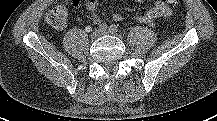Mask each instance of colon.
Returning a JSON list of instances; mask_svg holds the SVG:
<instances>
[{"instance_id":"colon-1","label":"colon","mask_w":217,"mask_h":121,"mask_svg":"<svg viewBox=\"0 0 217 121\" xmlns=\"http://www.w3.org/2000/svg\"><path fill=\"white\" fill-rule=\"evenodd\" d=\"M168 4L177 5L180 0H165ZM67 9L63 5L53 7L46 15L47 22L54 28L61 29L67 24Z\"/></svg>"}]
</instances>
